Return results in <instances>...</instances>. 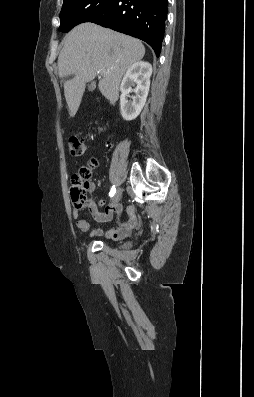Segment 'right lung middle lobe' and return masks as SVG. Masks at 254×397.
<instances>
[{"label":"right lung middle lobe","mask_w":254,"mask_h":397,"mask_svg":"<svg viewBox=\"0 0 254 397\" xmlns=\"http://www.w3.org/2000/svg\"><path fill=\"white\" fill-rule=\"evenodd\" d=\"M113 0H64L59 31L67 33L80 23L100 15Z\"/></svg>","instance_id":"obj_1"}]
</instances>
